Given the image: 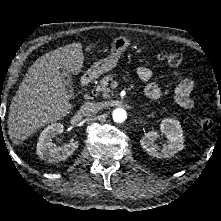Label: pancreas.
Segmentation results:
<instances>
[{
    "label": "pancreas",
    "instance_id": "obj_1",
    "mask_svg": "<svg viewBox=\"0 0 221 221\" xmlns=\"http://www.w3.org/2000/svg\"><path fill=\"white\" fill-rule=\"evenodd\" d=\"M113 80V76L106 75L101 80L99 85L96 87V92L101 93L103 97H109L111 90L108 88L109 82Z\"/></svg>",
    "mask_w": 221,
    "mask_h": 221
}]
</instances>
